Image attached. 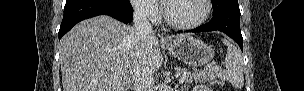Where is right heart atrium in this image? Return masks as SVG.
<instances>
[{"label":"right heart atrium","instance_id":"obj_1","mask_svg":"<svg viewBox=\"0 0 304 91\" xmlns=\"http://www.w3.org/2000/svg\"><path fill=\"white\" fill-rule=\"evenodd\" d=\"M137 14L149 21H158L160 18V11L158 7L151 1L137 0L133 3Z\"/></svg>","mask_w":304,"mask_h":91}]
</instances>
